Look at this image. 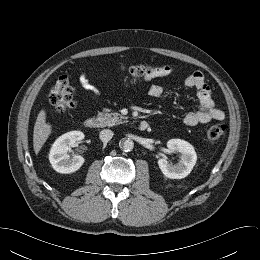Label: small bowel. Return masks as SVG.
<instances>
[{
	"mask_svg": "<svg viewBox=\"0 0 260 260\" xmlns=\"http://www.w3.org/2000/svg\"><path fill=\"white\" fill-rule=\"evenodd\" d=\"M173 69L170 66H162L156 68L150 78L165 77L170 75ZM82 87L95 95H98V90L91 84L90 80L82 75L80 78ZM184 84L188 88H195L198 91L199 109L188 112L183 123L186 126H196L205 124L212 120L221 121L225 118L224 112L215 106L211 96V91L206 84L205 77L202 72L195 71L186 77ZM148 94L152 98H159L164 94V87L154 84L149 88Z\"/></svg>",
	"mask_w": 260,
	"mask_h": 260,
	"instance_id": "1",
	"label": "small bowel"
}]
</instances>
